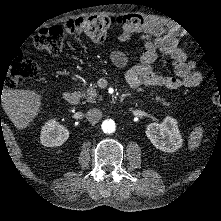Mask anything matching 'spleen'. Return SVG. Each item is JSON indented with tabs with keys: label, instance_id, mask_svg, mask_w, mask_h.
<instances>
[{
	"label": "spleen",
	"instance_id": "obj_1",
	"mask_svg": "<svg viewBox=\"0 0 221 221\" xmlns=\"http://www.w3.org/2000/svg\"><path fill=\"white\" fill-rule=\"evenodd\" d=\"M202 135L201 129H195L193 134L190 136V147L196 148Z\"/></svg>",
	"mask_w": 221,
	"mask_h": 221
}]
</instances>
